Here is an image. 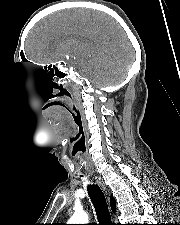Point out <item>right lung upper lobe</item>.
I'll list each match as a JSON object with an SVG mask.
<instances>
[{"label":"right lung upper lobe","instance_id":"right-lung-upper-lobe-1","mask_svg":"<svg viewBox=\"0 0 180 225\" xmlns=\"http://www.w3.org/2000/svg\"><path fill=\"white\" fill-rule=\"evenodd\" d=\"M111 207H112V210L113 212L115 211V200L113 197H111Z\"/></svg>","mask_w":180,"mask_h":225}]
</instances>
